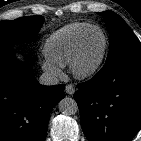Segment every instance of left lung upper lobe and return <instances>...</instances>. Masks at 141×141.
<instances>
[{
    "label": "left lung upper lobe",
    "instance_id": "obj_1",
    "mask_svg": "<svg viewBox=\"0 0 141 141\" xmlns=\"http://www.w3.org/2000/svg\"><path fill=\"white\" fill-rule=\"evenodd\" d=\"M109 31L110 48L106 64L123 57L141 56V43L126 22L113 11L100 12Z\"/></svg>",
    "mask_w": 141,
    "mask_h": 141
}]
</instances>
